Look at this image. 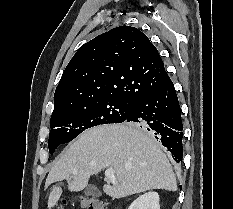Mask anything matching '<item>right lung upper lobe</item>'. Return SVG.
Here are the masks:
<instances>
[{
  "instance_id": "right-lung-upper-lobe-1",
  "label": "right lung upper lobe",
  "mask_w": 233,
  "mask_h": 209,
  "mask_svg": "<svg viewBox=\"0 0 233 209\" xmlns=\"http://www.w3.org/2000/svg\"><path fill=\"white\" fill-rule=\"evenodd\" d=\"M168 80L148 37L135 27L119 26L78 49L56 88L52 115L108 98L134 102Z\"/></svg>"
}]
</instances>
